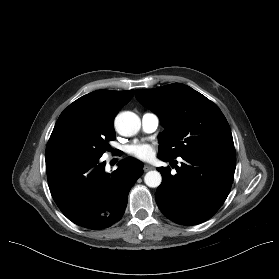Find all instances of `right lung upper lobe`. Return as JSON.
Returning <instances> with one entry per match:
<instances>
[{
	"label": "right lung upper lobe",
	"instance_id": "obj_1",
	"mask_svg": "<svg viewBox=\"0 0 279 279\" xmlns=\"http://www.w3.org/2000/svg\"><path fill=\"white\" fill-rule=\"evenodd\" d=\"M134 90H98L84 95L67 108H81L95 116L101 123L114 127V117L133 97Z\"/></svg>",
	"mask_w": 279,
	"mask_h": 279
}]
</instances>
